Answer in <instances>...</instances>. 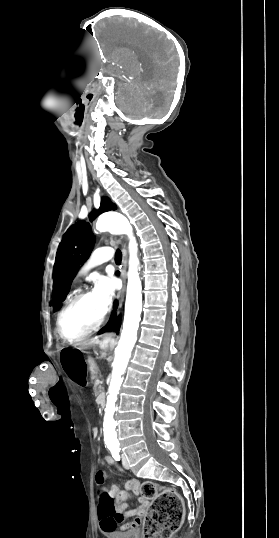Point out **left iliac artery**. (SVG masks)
I'll return each instance as SVG.
<instances>
[{"label":"left iliac artery","mask_w":279,"mask_h":538,"mask_svg":"<svg viewBox=\"0 0 279 538\" xmlns=\"http://www.w3.org/2000/svg\"><path fill=\"white\" fill-rule=\"evenodd\" d=\"M111 453H112V456L114 457L115 460H117V461L120 460L119 450H117V449L112 450Z\"/></svg>","instance_id":"44dca946"}]
</instances>
